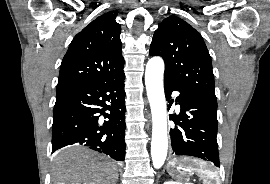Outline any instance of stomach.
I'll list each match as a JSON object with an SVG mask.
<instances>
[{"label":"stomach","mask_w":270,"mask_h":184,"mask_svg":"<svg viewBox=\"0 0 270 184\" xmlns=\"http://www.w3.org/2000/svg\"><path fill=\"white\" fill-rule=\"evenodd\" d=\"M168 173L178 179V180H185L186 175H183L184 172V165L182 159H173L168 163L167 167Z\"/></svg>","instance_id":"0dacf381"}]
</instances>
